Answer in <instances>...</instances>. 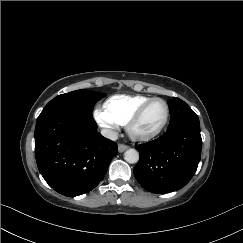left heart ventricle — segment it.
<instances>
[{"instance_id":"obj_1","label":"left heart ventricle","mask_w":243,"mask_h":243,"mask_svg":"<svg viewBox=\"0 0 243 243\" xmlns=\"http://www.w3.org/2000/svg\"><path fill=\"white\" fill-rule=\"evenodd\" d=\"M166 116V107L163 102H155L144 112L141 120L135 125L134 131L138 134H149L157 130Z\"/></svg>"}]
</instances>
